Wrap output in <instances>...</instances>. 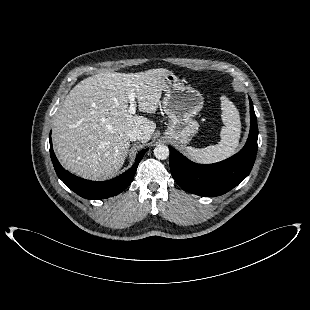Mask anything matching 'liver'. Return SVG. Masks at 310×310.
Wrapping results in <instances>:
<instances>
[{"mask_svg":"<svg viewBox=\"0 0 310 310\" xmlns=\"http://www.w3.org/2000/svg\"><path fill=\"white\" fill-rule=\"evenodd\" d=\"M170 73L165 68L99 73L78 83L54 120V149L64 167L86 179L115 176L130 148L128 133L138 130L146 143L156 128L152 120L128 112V94L135 93L140 112L155 113Z\"/></svg>","mask_w":310,"mask_h":310,"instance_id":"6515ba94","label":"liver"}]
</instances>
